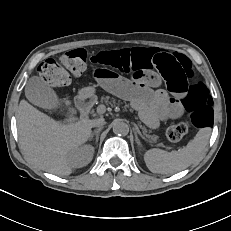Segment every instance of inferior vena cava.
I'll list each match as a JSON object with an SVG mask.
<instances>
[{"mask_svg":"<svg viewBox=\"0 0 231 231\" xmlns=\"http://www.w3.org/2000/svg\"><path fill=\"white\" fill-rule=\"evenodd\" d=\"M105 123L106 122L104 121V119H96V120L92 121L93 127H99V128L103 127V125H105Z\"/></svg>","mask_w":231,"mask_h":231,"instance_id":"1","label":"inferior vena cava"}]
</instances>
